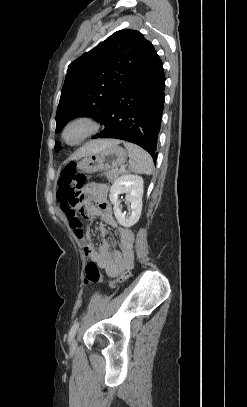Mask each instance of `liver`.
<instances>
[{
	"label": "liver",
	"instance_id": "obj_1",
	"mask_svg": "<svg viewBox=\"0 0 247 407\" xmlns=\"http://www.w3.org/2000/svg\"><path fill=\"white\" fill-rule=\"evenodd\" d=\"M119 140H94L81 147L70 159L77 160L84 156L97 153L107 147L118 145Z\"/></svg>",
	"mask_w": 247,
	"mask_h": 407
}]
</instances>
